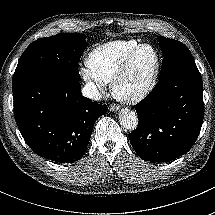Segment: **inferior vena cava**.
I'll use <instances>...</instances> for the list:
<instances>
[{
    "label": "inferior vena cava",
    "instance_id": "1",
    "mask_svg": "<svg viewBox=\"0 0 215 215\" xmlns=\"http://www.w3.org/2000/svg\"><path fill=\"white\" fill-rule=\"evenodd\" d=\"M84 97L92 100H100L102 95L94 82H87L81 90Z\"/></svg>",
    "mask_w": 215,
    "mask_h": 215
}]
</instances>
